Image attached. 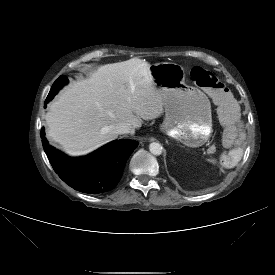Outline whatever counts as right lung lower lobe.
I'll return each instance as SVG.
<instances>
[{
  "instance_id": "98d812e1",
  "label": "right lung lower lobe",
  "mask_w": 275,
  "mask_h": 275,
  "mask_svg": "<svg viewBox=\"0 0 275 275\" xmlns=\"http://www.w3.org/2000/svg\"><path fill=\"white\" fill-rule=\"evenodd\" d=\"M44 151L59 177L77 191L98 194L112 190L119 182L127 159L138 146L133 140L110 142L83 158H69L45 138L41 130Z\"/></svg>"
}]
</instances>
